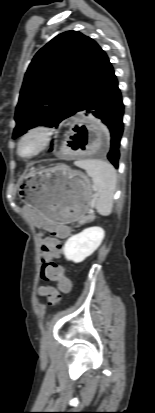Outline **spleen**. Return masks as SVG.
<instances>
[{
    "mask_svg": "<svg viewBox=\"0 0 155 413\" xmlns=\"http://www.w3.org/2000/svg\"><path fill=\"white\" fill-rule=\"evenodd\" d=\"M74 164L84 169L92 178L97 197V212L102 216L110 215L117 183V174L114 167L106 161L96 159L79 160Z\"/></svg>",
    "mask_w": 155,
    "mask_h": 413,
    "instance_id": "3e777b00",
    "label": "spleen"
}]
</instances>
